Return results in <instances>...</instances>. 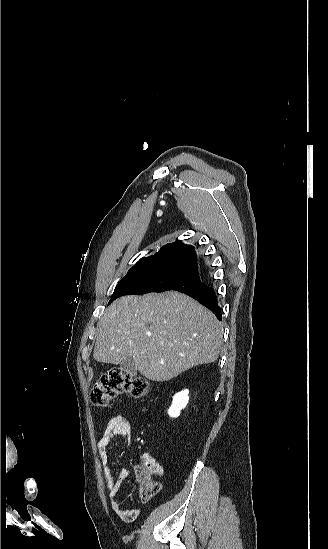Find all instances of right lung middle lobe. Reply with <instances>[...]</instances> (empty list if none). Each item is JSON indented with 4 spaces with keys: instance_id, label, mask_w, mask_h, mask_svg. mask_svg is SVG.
<instances>
[{
    "instance_id": "obj_1",
    "label": "right lung middle lobe",
    "mask_w": 328,
    "mask_h": 549,
    "mask_svg": "<svg viewBox=\"0 0 328 549\" xmlns=\"http://www.w3.org/2000/svg\"><path fill=\"white\" fill-rule=\"evenodd\" d=\"M205 286L198 275L172 270H131L117 284L109 303L118 297L130 294L184 292Z\"/></svg>"
}]
</instances>
